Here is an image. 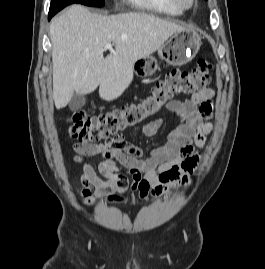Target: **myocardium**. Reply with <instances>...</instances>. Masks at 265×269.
Listing matches in <instances>:
<instances>
[{
  "instance_id": "obj_1",
  "label": "myocardium",
  "mask_w": 265,
  "mask_h": 269,
  "mask_svg": "<svg viewBox=\"0 0 265 269\" xmlns=\"http://www.w3.org/2000/svg\"><path fill=\"white\" fill-rule=\"evenodd\" d=\"M171 1L182 10L190 9L195 3V0H171Z\"/></svg>"
}]
</instances>
